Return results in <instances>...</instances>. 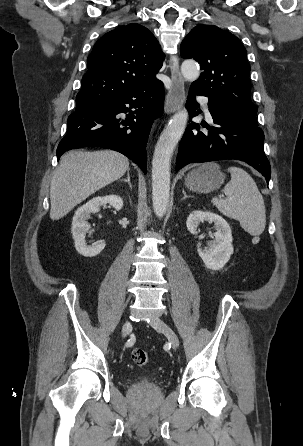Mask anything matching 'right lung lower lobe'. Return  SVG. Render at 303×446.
<instances>
[{
  "instance_id": "98d812e1",
  "label": "right lung lower lobe",
  "mask_w": 303,
  "mask_h": 446,
  "mask_svg": "<svg viewBox=\"0 0 303 446\" xmlns=\"http://www.w3.org/2000/svg\"><path fill=\"white\" fill-rule=\"evenodd\" d=\"M160 81L76 110L68 117V131L57 148V158L71 149L100 146L118 151L146 173V143L154 119L163 111ZM127 113L126 118L120 116Z\"/></svg>"
}]
</instances>
